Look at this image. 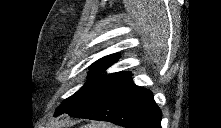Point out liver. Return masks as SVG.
<instances>
[{
	"label": "liver",
	"instance_id": "obj_1",
	"mask_svg": "<svg viewBox=\"0 0 221 128\" xmlns=\"http://www.w3.org/2000/svg\"><path fill=\"white\" fill-rule=\"evenodd\" d=\"M82 128H117L115 125L105 123V122H92L85 125Z\"/></svg>",
	"mask_w": 221,
	"mask_h": 128
}]
</instances>
